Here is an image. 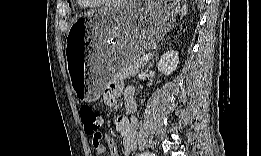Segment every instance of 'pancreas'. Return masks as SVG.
<instances>
[{"label": "pancreas", "instance_id": "cf45deb5", "mask_svg": "<svg viewBox=\"0 0 261 156\" xmlns=\"http://www.w3.org/2000/svg\"><path fill=\"white\" fill-rule=\"evenodd\" d=\"M147 61H140L139 57H133L126 65L121 69L120 75L124 78L133 76L139 73Z\"/></svg>", "mask_w": 261, "mask_h": 156}]
</instances>
